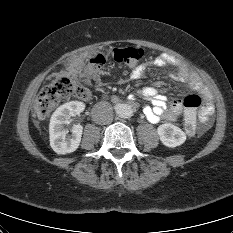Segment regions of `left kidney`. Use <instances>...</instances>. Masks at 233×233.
Masks as SVG:
<instances>
[{"mask_svg": "<svg viewBox=\"0 0 233 233\" xmlns=\"http://www.w3.org/2000/svg\"><path fill=\"white\" fill-rule=\"evenodd\" d=\"M161 142L170 148L182 145L186 141L185 133L177 126L165 123L157 128Z\"/></svg>", "mask_w": 233, "mask_h": 233, "instance_id": "obj_1", "label": "left kidney"}]
</instances>
